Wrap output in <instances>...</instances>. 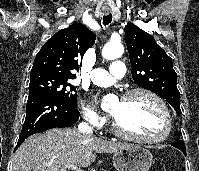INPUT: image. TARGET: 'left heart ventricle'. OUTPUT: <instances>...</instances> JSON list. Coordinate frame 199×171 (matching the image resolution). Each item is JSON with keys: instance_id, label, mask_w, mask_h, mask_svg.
I'll return each instance as SVG.
<instances>
[{"instance_id": "obj_1", "label": "left heart ventricle", "mask_w": 199, "mask_h": 171, "mask_svg": "<svg viewBox=\"0 0 199 171\" xmlns=\"http://www.w3.org/2000/svg\"><path fill=\"white\" fill-rule=\"evenodd\" d=\"M112 115L128 131L146 137H158L165 129L162 111L153 99L136 94L125 100L116 101Z\"/></svg>"}]
</instances>
